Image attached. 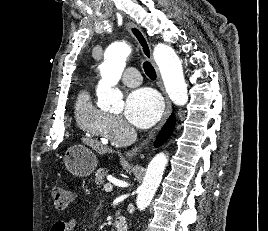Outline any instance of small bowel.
I'll return each mask as SVG.
<instances>
[{
    "label": "small bowel",
    "instance_id": "1",
    "mask_svg": "<svg viewBox=\"0 0 268 231\" xmlns=\"http://www.w3.org/2000/svg\"><path fill=\"white\" fill-rule=\"evenodd\" d=\"M78 219L76 217L68 220L59 219L51 227V231H77Z\"/></svg>",
    "mask_w": 268,
    "mask_h": 231
}]
</instances>
